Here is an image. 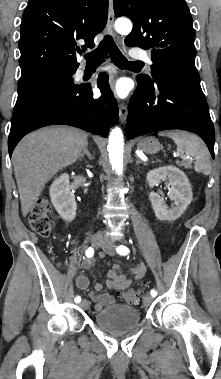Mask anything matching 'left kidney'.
I'll return each instance as SVG.
<instances>
[{
  "instance_id": "obj_1",
  "label": "left kidney",
  "mask_w": 221,
  "mask_h": 379,
  "mask_svg": "<svg viewBox=\"0 0 221 379\" xmlns=\"http://www.w3.org/2000/svg\"><path fill=\"white\" fill-rule=\"evenodd\" d=\"M168 180L171 188L168 196L174 201L175 206L169 208L164 199L155 192H150L149 197L155 216L160 221H173L181 217L193 199L192 188L185 173L174 166H165L153 169L147 173V182L150 188Z\"/></svg>"
}]
</instances>
